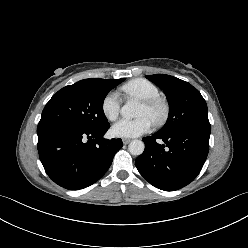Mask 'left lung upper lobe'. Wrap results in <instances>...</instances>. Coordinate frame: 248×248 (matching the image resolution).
I'll list each match as a JSON object with an SVG mask.
<instances>
[{"label":"left lung upper lobe","mask_w":248,"mask_h":248,"mask_svg":"<svg viewBox=\"0 0 248 248\" xmlns=\"http://www.w3.org/2000/svg\"><path fill=\"white\" fill-rule=\"evenodd\" d=\"M146 78L164 91L170 106L167 122L158 133L167 135L186 126L209 123L207 104L191 84L164 74L147 75Z\"/></svg>","instance_id":"left-lung-upper-lobe-1"}]
</instances>
